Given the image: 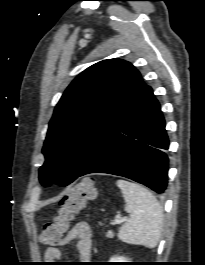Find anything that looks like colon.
Here are the masks:
<instances>
[{"label": "colon", "instance_id": "colon-1", "mask_svg": "<svg viewBox=\"0 0 205 265\" xmlns=\"http://www.w3.org/2000/svg\"><path fill=\"white\" fill-rule=\"evenodd\" d=\"M93 180L85 178L74 185L63 197L56 216L41 228L39 240L45 245H58L74 216L95 198Z\"/></svg>", "mask_w": 205, "mask_h": 265}]
</instances>
